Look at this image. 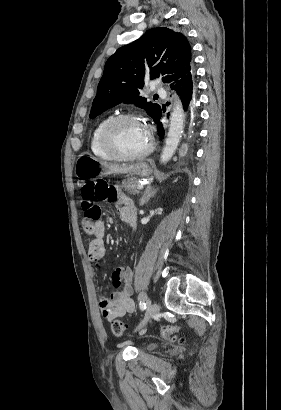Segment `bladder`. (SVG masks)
Masks as SVG:
<instances>
[{"instance_id": "31cf9c89", "label": "bladder", "mask_w": 281, "mask_h": 410, "mask_svg": "<svg viewBox=\"0 0 281 410\" xmlns=\"http://www.w3.org/2000/svg\"><path fill=\"white\" fill-rule=\"evenodd\" d=\"M156 347H157V344H155V343L149 345V348H150V349H154V348H156Z\"/></svg>"}]
</instances>
